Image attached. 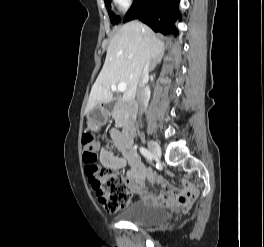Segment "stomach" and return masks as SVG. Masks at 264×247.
<instances>
[{"label": "stomach", "instance_id": "1", "mask_svg": "<svg viewBox=\"0 0 264 247\" xmlns=\"http://www.w3.org/2000/svg\"><path fill=\"white\" fill-rule=\"evenodd\" d=\"M107 117L108 111L100 104L96 105L87 116L91 125H102L107 120Z\"/></svg>", "mask_w": 264, "mask_h": 247}]
</instances>
